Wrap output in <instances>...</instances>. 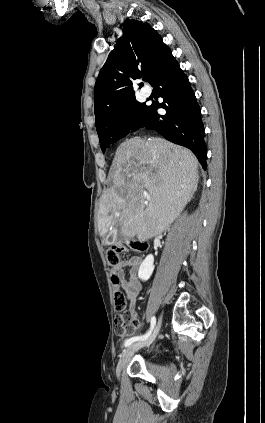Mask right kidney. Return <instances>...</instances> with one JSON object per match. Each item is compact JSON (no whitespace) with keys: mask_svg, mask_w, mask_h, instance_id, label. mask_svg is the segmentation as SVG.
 <instances>
[{"mask_svg":"<svg viewBox=\"0 0 265 423\" xmlns=\"http://www.w3.org/2000/svg\"><path fill=\"white\" fill-rule=\"evenodd\" d=\"M154 270V257L153 255H148L142 264L140 265L139 271H138V277L142 281H147L150 276L152 275Z\"/></svg>","mask_w":265,"mask_h":423,"instance_id":"obj_1","label":"right kidney"}]
</instances>
